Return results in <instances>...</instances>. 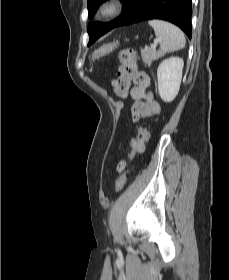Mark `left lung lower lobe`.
<instances>
[{
	"mask_svg": "<svg viewBox=\"0 0 229 280\" xmlns=\"http://www.w3.org/2000/svg\"><path fill=\"white\" fill-rule=\"evenodd\" d=\"M191 15V0H135L115 27L161 19L177 25L191 38Z\"/></svg>",
	"mask_w": 229,
	"mask_h": 280,
	"instance_id": "obj_1",
	"label": "left lung lower lobe"
}]
</instances>
